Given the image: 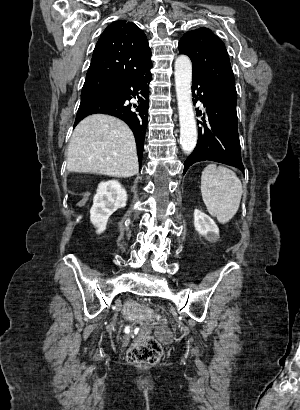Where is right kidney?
<instances>
[{
  "instance_id": "ca27d5eb",
  "label": "right kidney",
  "mask_w": 300,
  "mask_h": 410,
  "mask_svg": "<svg viewBox=\"0 0 300 410\" xmlns=\"http://www.w3.org/2000/svg\"><path fill=\"white\" fill-rule=\"evenodd\" d=\"M127 193L117 180L101 182L93 198L90 221L100 234L106 229L109 217L119 208L126 206Z\"/></svg>"
}]
</instances>
